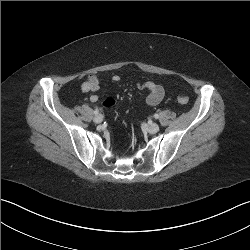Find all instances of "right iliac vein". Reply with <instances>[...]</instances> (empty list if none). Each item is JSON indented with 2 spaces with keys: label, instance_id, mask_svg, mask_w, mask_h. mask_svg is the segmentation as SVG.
<instances>
[{
  "label": "right iliac vein",
  "instance_id": "1",
  "mask_svg": "<svg viewBox=\"0 0 250 250\" xmlns=\"http://www.w3.org/2000/svg\"><path fill=\"white\" fill-rule=\"evenodd\" d=\"M102 121H103V116H102L101 114L96 115V116L94 117V122H95V123H101Z\"/></svg>",
  "mask_w": 250,
  "mask_h": 250
}]
</instances>
